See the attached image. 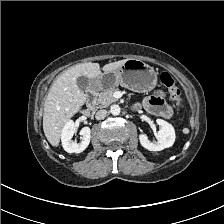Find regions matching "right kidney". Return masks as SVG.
I'll list each match as a JSON object with an SVG mask.
<instances>
[{
    "mask_svg": "<svg viewBox=\"0 0 224 224\" xmlns=\"http://www.w3.org/2000/svg\"><path fill=\"white\" fill-rule=\"evenodd\" d=\"M76 132L75 124L72 120L66 122L63 127L61 140L64 150L68 153H81L89 145L91 139V130L89 127H83L80 131L82 135V140L80 143L74 142L72 137Z\"/></svg>",
    "mask_w": 224,
    "mask_h": 224,
    "instance_id": "1",
    "label": "right kidney"
}]
</instances>
